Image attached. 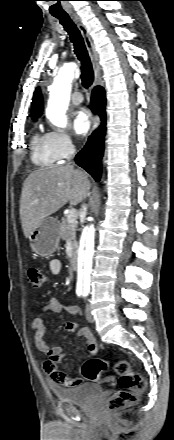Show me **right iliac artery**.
I'll return each instance as SVG.
<instances>
[{
	"instance_id": "82829eb1",
	"label": "right iliac artery",
	"mask_w": 174,
	"mask_h": 440,
	"mask_svg": "<svg viewBox=\"0 0 174 440\" xmlns=\"http://www.w3.org/2000/svg\"><path fill=\"white\" fill-rule=\"evenodd\" d=\"M77 295H78V296H81V295H82V293H81V292H78V293H77Z\"/></svg>"
}]
</instances>
